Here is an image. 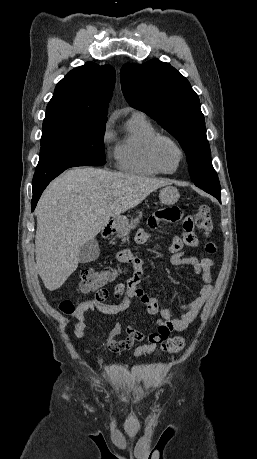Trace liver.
<instances>
[{
    "instance_id": "1",
    "label": "liver",
    "mask_w": 257,
    "mask_h": 459,
    "mask_svg": "<svg viewBox=\"0 0 257 459\" xmlns=\"http://www.w3.org/2000/svg\"><path fill=\"white\" fill-rule=\"evenodd\" d=\"M169 184L92 167L71 169L54 180L36 208V266L45 287L54 291L65 283L78 267L81 246L103 230L110 218Z\"/></svg>"
}]
</instances>
